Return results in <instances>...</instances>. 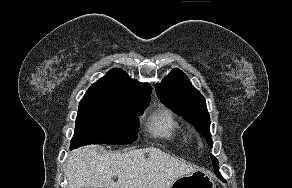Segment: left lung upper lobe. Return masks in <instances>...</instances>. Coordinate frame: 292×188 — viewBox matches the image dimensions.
<instances>
[{"mask_svg": "<svg viewBox=\"0 0 292 188\" xmlns=\"http://www.w3.org/2000/svg\"><path fill=\"white\" fill-rule=\"evenodd\" d=\"M156 92L163 103L192 123L207 138L209 145L212 144L205 99L181 70L173 69L162 83L156 84ZM211 158L214 170H219L218 160L213 156Z\"/></svg>", "mask_w": 292, "mask_h": 188, "instance_id": "left-lung-upper-lobe-1", "label": "left lung upper lobe"}]
</instances>
